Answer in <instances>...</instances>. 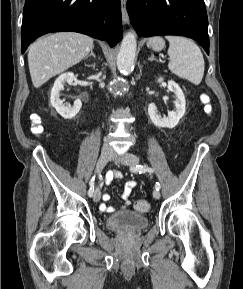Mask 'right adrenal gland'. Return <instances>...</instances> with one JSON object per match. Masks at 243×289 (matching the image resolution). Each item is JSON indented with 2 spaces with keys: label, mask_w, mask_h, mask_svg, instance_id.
I'll return each instance as SVG.
<instances>
[{
  "label": "right adrenal gland",
  "mask_w": 243,
  "mask_h": 289,
  "mask_svg": "<svg viewBox=\"0 0 243 289\" xmlns=\"http://www.w3.org/2000/svg\"><path fill=\"white\" fill-rule=\"evenodd\" d=\"M92 56L93 58H96L94 52H93V48L91 49V52L89 55H87L85 58L87 59L88 57Z\"/></svg>",
  "instance_id": "1"
}]
</instances>
